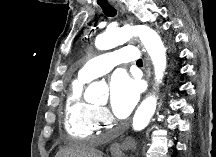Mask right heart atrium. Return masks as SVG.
<instances>
[{
	"mask_svg": "<svg viewBox=\"0 0 216 157\" xmlns=\"http://www.w3.org/2000/svg\"><path fill=\"white\" fill-rule=\"evenodd\" d=\"M95 122L98 127H106L111 123V117L105 108H97Z\"/></svg>",
	"mask_w": 216,
	"mask_h": 157,
	"instance_id": "1",
	"label": "right heart atrium"
}]
</instances>
